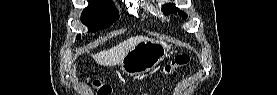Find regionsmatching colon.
I'll list each match as a JSON object with an SVG mask.
<instances>
[{
	"label": "colon",
	"instance_id": "obj_1",
	"mask_svg": "<svg viewBox=\"0 0 277 95\" xmlns=\"http://www.w3.org/2000/svg\"><path fill=\"white\" fill-rule=\"evenodd\" d=\"M188 63H189V56L187 54L178 55L171 63H169L164 67L163 73L165 75H171L176 71H178L179 69L186 67ZM98 92L101 95H109L111 92V88L108 85H99Z\"/></svg>",
	"mask_w": 277,
	"mask_h": 95
}]
</instances>
